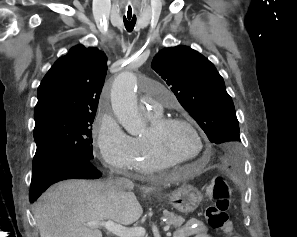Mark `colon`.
Returning <instances> with one entry per match:
<instances>
[{
  "label": "colon",
  "instance_id": "1",
  "mask_svg": "<svg viewBox=\"0 0 297 237\" xmlns=\"http://www.w3.org/2000/svg\"><path fill=\"white\" fill-rule=\"evenodd\" d=\"M208 191L212 200V204L206 209L208 225L230 237H241L234 233L233 224L228 216L232 199L229 183L224 178H218L210 185Z\"/></svg>",
  "mask_w": 297,
  "mask_h": 237
}]
</instances>
